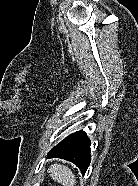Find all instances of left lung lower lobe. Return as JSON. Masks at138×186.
<instances>
[{
  "instance_id": "obj_1",
  "label": "left lung lower lobe",
  "mask_w": 138,
  "mask_h": 186,
  "mask_svg": "<svg viewBox=\"0 0 138 186\" xmlns=\"http://www.w3.org/2000/svg\"><path fill=\"white\" fill-rule=\"evenodd\" d=\"M48 158L71 161L85 174L91 161L90 140L85 132H75L53 147L48 153Z\"/></svg>"
}]
</instances>
